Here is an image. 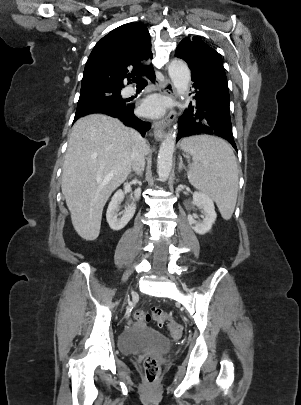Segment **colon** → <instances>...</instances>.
I'll use <instances>...</instances> for the list:
<instances>
[{
	"label": "colon",
	"mask_w": 301,
	"mask_h": 405,
	"mask_svg": "<svg viewBox=\"0 0 301 405\" xmlns=\"http://www.w3.org/2000/svg\"><path fill=\"white\" fill-rule=\"evenodd\" d=\"M134 318L137 322L144 323L154 321L158 325H162L166 320H169L168 315L161 309H153L151 312L146 311H136ZM169 328L171 334L179 338L182 335V327L173 320H170ZM144 370L146 375V380L149 383H154L161 373V364L154 356H148L144 360Z\"/></svg>",
	"instance_id": "obj_1"
}]
</instances>
